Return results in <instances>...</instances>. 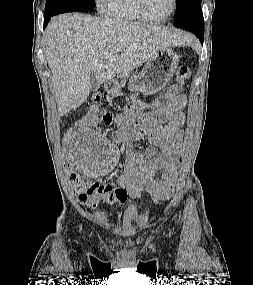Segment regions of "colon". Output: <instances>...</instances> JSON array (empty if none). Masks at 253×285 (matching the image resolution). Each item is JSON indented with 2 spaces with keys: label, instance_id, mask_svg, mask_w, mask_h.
I'll use <instances>...</instances> for the list:
<instances>
[{
  "label": "colon",
  "instance_id": "1",
  "mask_svg": "<svg viewBox=\"0 0 253 285\" xmlns=\"http://www.w3.org/2000/svg\"><path fill=\"white\" fill-rule=\"evenodd\" d=\"M191 76V70L187 65H181L177 70V82L181 86L185 80ZM99 119L98 111L95 105H93L89 111V114L84 120L86 124H95ZM130 119L121 118L118 119L117 124L127 125L130 123ZM77 137L75 136L73 129H68L64 136V167H61V172H66L68 180H73L74 192L77 199L84 205L92 207L97 205L100 201H118L124 202L127 198V192L123 188H114L112 186L103 185L97 182H85L87 175H80L78 171L77 161L72 158L74 151L77 150L76 144Z\"/></svg>",
  "mask_w": 253,
  "mask_h": 285
}]
</instances>
